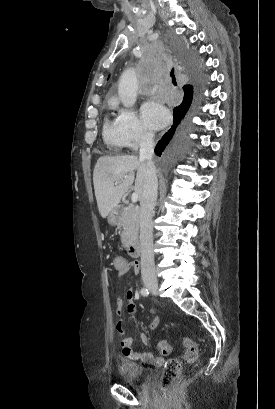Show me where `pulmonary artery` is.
I'll return each mask as SVG.
<instances>
[{"label": "pulmonary artery", "instance_id": "1", "mask_svg": "<svg viewBox=\"0 0 275 409\" xmlns=\"http://www.w3.org/2000/svg\"><path fill=\"white\" fill-rule=\"evenodd\" d=\"M151 93H152V94H157V93H159V87L153 86V87H152V90H151Z\"/></svg>", "mask_w": 275, "mask_h": 409}]
</instances>
